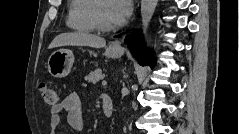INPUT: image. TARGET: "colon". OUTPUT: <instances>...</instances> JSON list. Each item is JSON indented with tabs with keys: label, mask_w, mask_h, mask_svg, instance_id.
<instances>
[{
	"label": "colon",
	"mask_w": 239,
	"mask_h": 134,
	"mask_svg": "<svg viewBox=\"0 0 239 134\" xmlns=\"http://www.w3.org/2000/svg\"><path fill=\"white\" fill-rule=\"evenodd\" d=\"M42 97L46 104L54 106L58 102V93L50 88L46 83H41L39 86Z\"/></svg>",
	"instance_id": "obj_1"
}]
</instances>
